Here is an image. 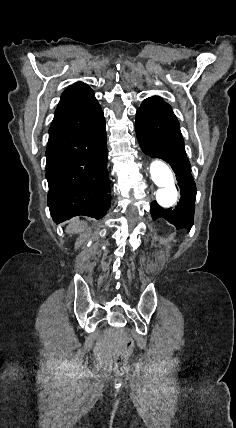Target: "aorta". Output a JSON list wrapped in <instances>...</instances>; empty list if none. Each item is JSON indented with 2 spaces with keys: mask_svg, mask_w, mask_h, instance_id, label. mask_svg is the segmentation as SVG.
Here are the masks:
<instances>
[{
  "mask_svg": "<svg viewBox=\"0 0 236 428\" xmlns=\"http://www.w3.org/2000/svg\"><path fill=\"white\" fill-rule=\"evenodd\" d=\"M150 174L153 182L159 187L156 201L162 208L173 206L178 192L171 169L161 160H153L150 164Z\"/></svg>",
  "mask_w": 236,
  "mask_h": 428,
  "instance_id": "1",
  "label": "aorta"
}]
</instances>
